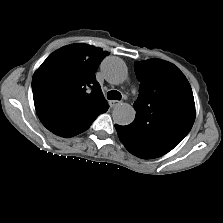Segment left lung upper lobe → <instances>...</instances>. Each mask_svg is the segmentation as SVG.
I'll return each mask as SVG.
<instances>
[{
	"label": "left lung upper lobe",
	"instance_id": "obj_1",
	"mask_svg": "<svg viewBox=\"0 0 223 223\" xmlns=\"http://www.w3.org/2000/svg\"><path fill=\"white\" fill-rule=\"evenodd\" d=\"M141 82L135 120L120 130L129 145L164 155L191 130L195 103L191 86L173 64L150 59L134 64Z\"/></svg>",
	"mask_w": 223,
	"mask_h": 223
}]
</instances>
